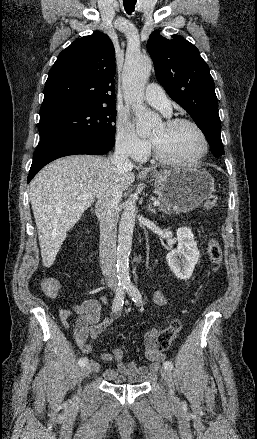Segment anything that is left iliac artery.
Here are the masks:
<instances>
[{"mask_svg": "<svg viewBox=\"0 0 257 439\" xmlns=\"http://www.w3.org/2000/svg\"><path fill=\"white\" fill-rule=\"evenodd\" d=\"M125 289L135 303H141L142 296L135 285H133L131 282H127L125 284ZM163 367L168 369V370H172L173 363L171 361H165L163 363Z\"/></svg>", "mask_w": 257, "mask_h": 439, "instance_id": "1", "label": "left iliac artery"}]
</instances>
